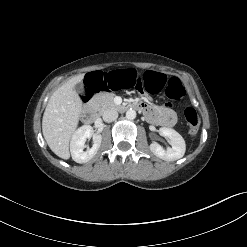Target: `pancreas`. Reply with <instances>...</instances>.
<instances>
[{
  "label": "pancreas",
  "mask_w": 247,
  "mask_h": 247,
  "mask_svg": "<svg viewBox=\"0 0 247 247\" xmlns=\"http://www.w3.org/2000/svg\"><path fill=\"white\" fill-rule=\"evenodd\" d=\"M96 105L99 111H104L106 109H119L120 107L117 106L113 101V96L106 93L98 94L95 98Z\"/></svg>",
  "instance_id": "cf45deb5"
}]
</instances>
